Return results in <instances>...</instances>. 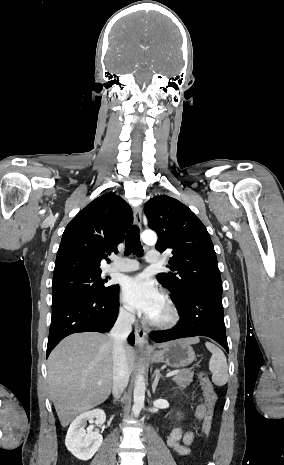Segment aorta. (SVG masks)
I'll return each mask as SVG.
<instances>
[{
    "label": "aorta",
    "instance_id": "obj_1",
    "mask_svg": "<svg viewBox=\"0 0 284 465\" xmlns=\"http://www.w3.org/2000/svg\"><path fill=\"white\" fill-rule=\"evenodd\" d=\"M141 239L145 244L154 245L157 241V236L154 231L146 230L141 234ZM145 390L146 386L144 376L140 372L136 377L133 392L134 405L132 407V411L135 417H138L141 409L144 407Z\"/></svg>",
    "mask_w": 284,
    "mask_h": 465
}]
</instances>
